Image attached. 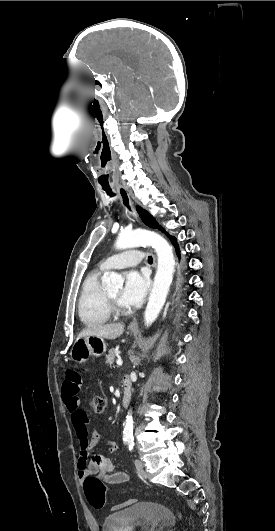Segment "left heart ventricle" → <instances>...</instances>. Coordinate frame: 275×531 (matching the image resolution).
<instances>
[{
    "instance_id": "1",
    "label": "left heart ventricle",
    "mask_w": 275,
    "mask_h": 531,
    "mask_svg": "<svg viewBox=\"0 0 275 531\" xmlns=\"http://www.w3.org/2000/svg\"><path fill=\"white\" fill-rule=\"evenodd\" d=\"M105 290L108 291L113 297H115V299L120 303V300H119L120 293H121V287L120 286L116 287V288H113V289H105ZM122 307H125V306L122 305Z\"/></svg>"
}]
</instances>
